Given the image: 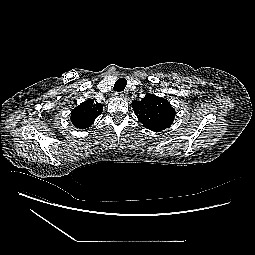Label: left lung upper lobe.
Wrapping results in <instances>:
<instances>
[{"label": "left lung upper lobe", "mask_w": 255, "mask_h": 255, "mask_svg": "<svg viewBox=\"0 0 255 255\" xmlns=\"http://www.w3.org/2000/svg\"><path fill=\"white\" fill-rule=\"evenodd\" d=\"M132 108L138 120L147 129L156 132L168 128L175 117V109L168 100L153 94H147L140 101L134 100Z\"/></svg>", "instance_id": "obj_1"}]
</instances>
